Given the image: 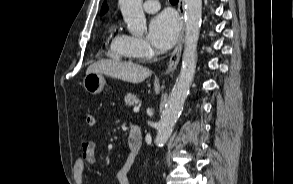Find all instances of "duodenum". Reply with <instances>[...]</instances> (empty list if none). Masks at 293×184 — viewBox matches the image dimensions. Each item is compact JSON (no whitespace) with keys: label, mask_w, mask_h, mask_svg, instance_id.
<instances>
[{"label":"duodenum","mask_w":293,"mask_h":184,"mask_svg":"<svg viewBox=\"0 0 293 184\" xmlns=\"http://www.w3.org/2000/svg\"><path fill=\"white\" fill-rule=\"evenodd\" d=\"M143 142L142 131L139 126L133 125L131 127L129 137H128V146L129 153L132 156H136L140 150Z\"/></svg>","instance_id":"duodenum-1"}]
</instances>
